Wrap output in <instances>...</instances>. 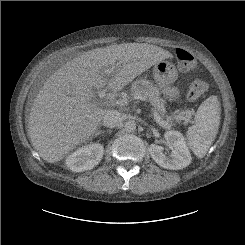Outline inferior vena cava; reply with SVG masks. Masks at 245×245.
I'll list each match as a JSON object with an SVG mask.
<instances>
[{"instance_id": "inferior-vena-cava-1", "label": "inferior vena cava", "mask_w": 245, "mask_h": 245, "mask_svg": "<svg viewBox=\"0 0 245 245\" xmlns=\"http://www.w3.org/2000/svg\"><path fill=\"white\" fill-rule=\"evenodd\" d=\"M123 120L122 114L117 110H107L103 116V125L108 128L118 126Z\"/></svg>"}]
</instances>
